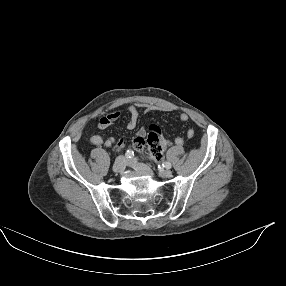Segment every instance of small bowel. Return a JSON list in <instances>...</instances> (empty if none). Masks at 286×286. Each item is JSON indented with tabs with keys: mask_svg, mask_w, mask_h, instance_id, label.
<instances>
[{
	"mask_svg": "<svg viewBox=\"0 0 286 286\" xmlns=\"http://www.w3.org/2000/svg\"><path fill=\"white\" fill-rule=\"evenodd\" d=\"M143 108L147 112H164L168 111V108L159 106V105H154V104H130L128 106V113H129V120L127 123V128L129 130H133L137 127L138 124V119H139V109ZM120 117V112L115 111L112 112L106 116H103L102 118L99 119L98 121V128L99 129H106L109 126H111L118 118ZM189 120V115L187 113H181L179 115V121L181 123H185ZM137 135L139 137H144L146 135V129L145 128H140L137 132ZM186 135L188 138H193L194 136V130L193 129H188L186 132ZM90 142L93 145L100 146L104 145L106 147H111L115 143L114 137H108V138H103L101 135H93L90 138ZM185 143V140L183 137H177L175 139V144L177 146H183ZM168 145L167 139L163 140V146L166 147Z\"/></svg>",
	"mask_w": 286,
	"mask_h": 286,
	"instance_id": "small-bowel-1",
	"label": "small bowel"
}]
</instances>
